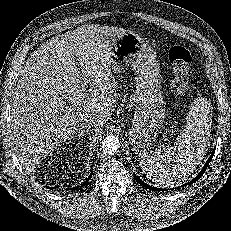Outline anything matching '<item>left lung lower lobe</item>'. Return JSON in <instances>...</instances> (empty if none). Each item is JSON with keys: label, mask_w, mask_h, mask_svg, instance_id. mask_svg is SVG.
<instances>
[{"label": "left lung lower lobe", "mask_w": 231, "mask_h": 231, "mask_svg": "<svg viewBox=\"0 0 231 231\" xmlns=\"http://www.w3.org/2000/svg\"><path fill=\"white\" fill-rule=\"evenodd\" d=\"M214 151L212 152L210 158L208 159V161L206 162V164L204 165L203 169L201 170V172L190 182H188L187 184L182 185L183 186H187L190 184L195 183L205 172V170L207 169L209 162L211 161L212 157H213ZM135 179L137 180L138 183H140L143 187H145L146 189H149L150 191H163L164 189L161 188H156V187H152L150 185H147L146 183H144L140 178H138V176L134 175ZM165 191H167V189H165Z\"/></svg>", "instance_id": "0a47b994"}]
</instances>
